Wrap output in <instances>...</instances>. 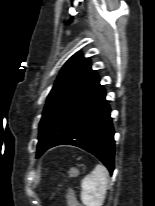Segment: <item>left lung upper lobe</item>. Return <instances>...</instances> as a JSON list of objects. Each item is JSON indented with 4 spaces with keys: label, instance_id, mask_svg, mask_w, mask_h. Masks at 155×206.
Wrapping results in <instances>:
<instances>
[{
    "label": "left lung upper lobe",
    "instance_id": "1",
    "mask_svg": "<svg viewBox=\"0 0 155 206\" xmlns=\"http://www.w3.org/2000/svg\"><path fill=\"white\" fill-rule=\"evenodd\" d=\"M105 94L88 58L73 55L49 93L39 124L37 155L69 131L80 116Z\"/></svg>",
    "mask_w": 155,
    "mask_h": 206
}]
</instances>
